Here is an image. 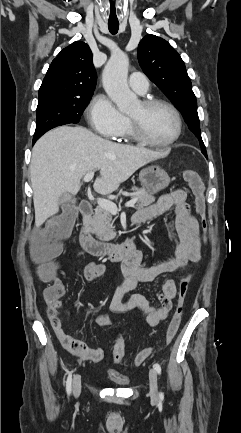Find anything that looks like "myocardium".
Instances as JSON below:
<instances>
[{
  "label": "myocardium",
  "instance_id": "1",
  "mask_svg": "<svg viewBox=\"0 0 241 433\" xmlns=\"http://www.w3.org/2000/svg\"><path fill=\"white\" fill-rule=\"evenodd\" d=\"M141 104L145 109H151L157 106H163L168 108L173 113L176 119L177 129L175 135L170 140L165 142H157L150 139L145 134L141 126L133 118L129 116L128 117L129 126L135 140L139 141L142 144L153 146V147H167L173 145L180 138L182 134V127H183L182 118L178 109L173 104H171L166 100L155 99V98L144 99L141 101Z\"/></svg>",
  "mask_w": 241,
  "mask_h": 433
}]
</instances>
